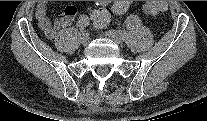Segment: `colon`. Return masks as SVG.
<instances>
[{"mask_svg":"<svg viewBox=\"0 0 207 121\" xmlns=\"http://www.w3.org/2000/svg\"><path fill=\"white\" fill-rule=\"evenodd\" d=\"M125 7V6H122ZM167 9V4L163 1H148L143 5V10L146 14L154 16ZM115 14L114 7L111 5H103L92 12V19L98 28L106 26L113 15Z\"/></svg>","mask_w":207,"mask_h":121,"instance_id":"1","label":"colon"}]
</instances>
